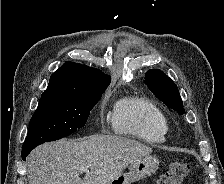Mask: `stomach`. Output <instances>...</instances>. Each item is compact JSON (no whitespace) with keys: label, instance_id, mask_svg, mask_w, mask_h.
Instances as JSON below:
<instances>
[{"label":"stomach","instance_id":"obj_1","mask_svg":"<svg viewBox=\"0 0 224 184\" xmlns=\"http://www.w3.org/2000/svg\"><path fill=\"white\" fill-rule=\"evenodd\" d=\"M159 161L154 156H146L141 159L133 161L129 166L128 173H122L115 179L108 182V184H131L147 178L158 169Z\"/></svg>","mask_w":224,"mask_h":184}]
</instances>
